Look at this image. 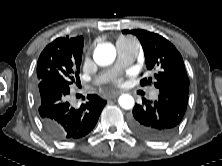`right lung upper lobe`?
I'll return each instance as SVG.
<instances>
[{"instance_id":"cb5924a9","label":"right lung upper lobe","mask_w":222,"mask_h":166,"mask_svg":"<svg viewBox=\"0 0 222 166\" xmlns=\"http://www.w3.org/2000/svg\"><path fill=\"white\" fill-rule=\"evenodd\" d=\"M73 39L74 38H69L68 36L57 38L52 43H50L48 46H46L45 49L46 50H53V49L65 50V49H68V48L72 47V45L74 43Z\"/></svg>"}]
</instances>
